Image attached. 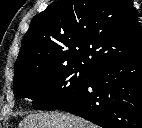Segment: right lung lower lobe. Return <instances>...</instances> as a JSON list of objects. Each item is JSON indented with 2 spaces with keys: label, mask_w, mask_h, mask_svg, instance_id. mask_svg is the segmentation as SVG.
I'll return each instance as SVG.
<instances>
[{
  "label": "right lung lower lobe",
  "mask_w": 142,
  "mask_h": 128,
  "mask_svg": "<svg viewBox=\"0 0 142 128\" xmlns=\"http://www.w3.org/2000/svg\"><path fill=\"white\" fill-rule=\"evenodd\" d=\"M58 109L103 128H142V50L94 70L86 87Z\"/></svg>",
  "instance_id": "obj_1"
}]
</instances>
